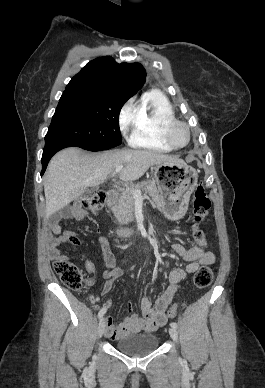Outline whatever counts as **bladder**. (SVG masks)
<instances>
[{
  "label": "bladder",
  "mask_w": 265,
  "mask_h": 388,
  "mask_svg": "<svg viewBox=\"0 0 265 388\" xmlns=\"http://www.w3.org/2000/svg\"><path fill=\"white\" fill-rule=\"evenodd\" d=\"M159 342L160 339L155 337L153 333L135 334L117 340V347L119 351L130 356H139L143 353L155 351Z\"/></svg>",
  "instance_id": "bladder-1"
}]
</instances>
